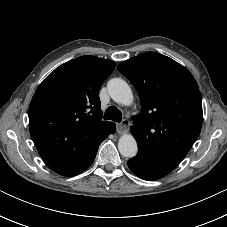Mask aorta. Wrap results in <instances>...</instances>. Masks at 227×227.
<instances>
[{
  "mask_svg": "<svg viewBox=\"0 0 227 227\" xmlns=\"http://www.w3.org/2000/svg\"><path fill=\"white\" fill-rule=\"evenodd\" d=\"M110 97L122 105H130L133 102L131 88L121 78H113L107 84ZM118 150L126 158H132L137 154L138 146L135 138L131 134H124L118 141Z\"/></svg>",
  "mask_w": 227,
  "mask_h": 227,
  "instance_id": "1",
  "label": "aorta"
}]
</instances>
